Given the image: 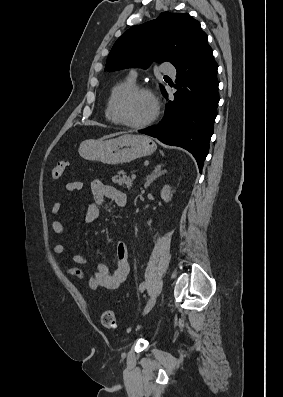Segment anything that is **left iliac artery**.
Wrapping results in <instances>:
<instances>
[{"label": "left iliac artery", "instance_id": "1", "mask_svg": "<svg viewBox=\"0 0 283 397\" xmlns=\"http://www.w3.org/2000/svg\"><path fill=\"white\" fill-rule=\"evenodd\" d=\"M145 287H146L145 282H142V283L140 284V286H139V290H140L141 292H143L144 289H145Z\"/></svg>", "mask_w": 283, "mask_h": 397}]
</instances>
